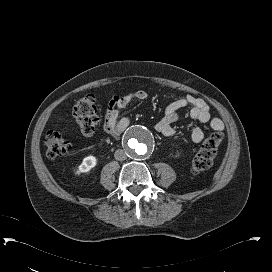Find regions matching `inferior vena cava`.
<instances>
[{
  "label": "inferior vena cava",
  "mask_w": 272,
  "mask_h": 272,
  "mask_svg": "<svg viewBox=\"0 0 272 272\" xmlns=\"http://www.w3.org/2000/svg\"><path fill=\"white\" fill-rule=\"evenodd\" d=\"M114 157L118 161H124L127 159V153H126V151H124L122 149H118L115 151Z\"/></svg>",
  "instance_id": "obj_1"
}]
</instances>
